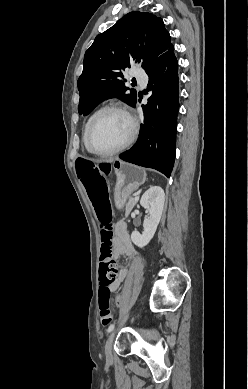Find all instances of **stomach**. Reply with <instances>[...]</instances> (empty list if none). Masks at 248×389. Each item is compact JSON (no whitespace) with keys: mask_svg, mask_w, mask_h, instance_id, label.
<instances>
[{"mask_svg":"<svg viewBox=\"0 0 248 389\" xmlns=\"http://www.w3.org/2000/svg\"><path fill=\"white\" fill-rule=\"evenodd\" d=\"M112 166L117 177L114 200L116 206L122 208L130 194L145 182L146 172L139 166L123 161H114Z\"/></svg>","mask_w":248,"mask_h":389,"instance_id":"0dacf381","label":"stomach"}]
</instances>
